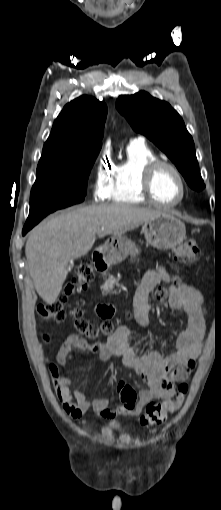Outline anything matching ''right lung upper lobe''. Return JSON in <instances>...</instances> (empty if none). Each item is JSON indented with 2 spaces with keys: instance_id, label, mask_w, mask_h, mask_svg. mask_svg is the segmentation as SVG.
I'll use <instances>...</instances> for the list:
<instances>
[{
  "instance_id": "right-lung-upper-lobe-1",
  "label": "right lung upper lobe",
  "mask_w": 221,
  "mask_h": 510,
  "mask_svg": "<svg viewBox=\"0 0 221 510\" xmlns=\"http://www.w3.org/2000/svg\"><path fill=\"white\" fill-rule=\"evenodd\" d=\"M106 114L105 103L85 95L65 105L54 121L41 159L101 148Z\"/></svg>"
}]
</instances>
